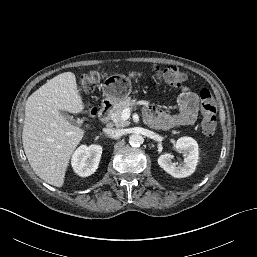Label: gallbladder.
<instances>
[{
    "instance_id": "gallbladder-1",
    "label": "gallbladder",
    "mask_w": 257,
    "mask_h": 257,
    "mask_svg": "<svg viewBox=\"0 0 257 257\" xmlns=\"http://www.w3.org/2000/svg\"><path fill=\"white\" fill-rule=\"evenodd\" d=\"M61 115L70 123H75V120L71 116H69L65 111H61Z\"/></svg>"
}]
</instances>
